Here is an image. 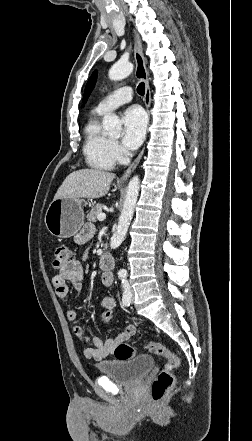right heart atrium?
Returning a JSON list of instances; mask_svg holds the SVG:
<instances>
[{
  "mask_svg": "<svg viewBox=\"0 0 252 441\" xmlns=\"http://www.w3.org/2000/svg\"><path fill=\"white\" fill-rule=\"evenodd\" d=\"M111 148L116 161H122L125 157V150L123 147L117 141H112Z\"/></svg>",
  "mask_w": 252,
  "mask_h": 441,
  "instance_id": "right-heart-atrium-1",
  "label": "right heart atrium"
}]
</instances>
